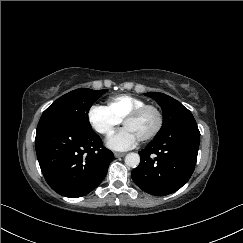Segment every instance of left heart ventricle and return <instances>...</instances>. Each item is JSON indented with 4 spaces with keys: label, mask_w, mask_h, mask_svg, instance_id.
I'll use <instances>...</instances> for the list:
<instances>
[{
    "label": "left heart ventricle",
    "mask_w": 243,
    "mask_h": 243,
    "mask_svg": "<svg viewBox=\"0 0 243 243\" xmlns=\"http://www.w3.org/2000/svg\"><path fill=\"white\" fill-rule=\"evenodd\" d=\"M157 117L151 110L146 111L139 118L130 120L124 124V127L130 129L138 140L145 138L155 128Z\"/></svg>",
    "instance_id": "left-heart-ventricle-1"
}]
</instances>
